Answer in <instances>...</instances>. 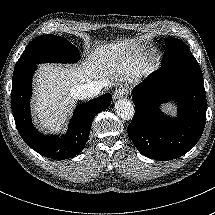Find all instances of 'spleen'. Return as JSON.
Masks as SVG:
<instances>
[{"label":"spleen","instance_id":"obj_1","mask_svg":"<svg viewBox=\"0 0 215 215\" xmlns=\"http://www.w3.org/2000/svg\"><path fill=\"white\" fill-rule=\"evenodd\" d=\"M162 111L165 113H169L172 116H176V107L173 106L171 103L163 104Z\"/></svg>","mask_w":215,"mask_h":215}]
</instances>
